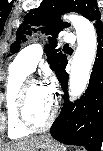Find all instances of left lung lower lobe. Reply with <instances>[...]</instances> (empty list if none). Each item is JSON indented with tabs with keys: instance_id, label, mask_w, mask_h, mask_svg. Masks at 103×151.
<instances>
[{
	"instance_id": "1",
	"label": "left lung lower lobe",
	"mask_w": 103,
	"mask_h": 151,
	"mask_svg": "<svg viewBox=\"0 0 103 151\" xmlns=\"http://www.w3.org/2000/svg\"><path fill=\"white\" fill-rule=\"evenodd\" d=\"M96 31L97 58L84 96L74 104L69 102L68 74L65 71L67 62L57 74L65 92V102L50 131L51 135L60 142L85 146L88 151H100L103 140V30Z\"/></svg>"
}]
</instances>
